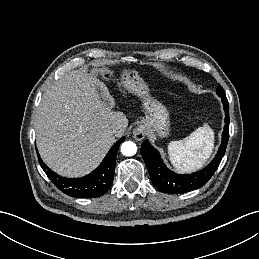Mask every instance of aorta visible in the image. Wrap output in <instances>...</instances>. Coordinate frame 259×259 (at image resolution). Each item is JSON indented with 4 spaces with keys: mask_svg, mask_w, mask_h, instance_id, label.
Instances as JSON below:
<instances>
[{
    "mask_svg": "<svg viewBox=\"0 0 259 259\" xmlns=\"http://www.w3.org/2000/svg\"><path fill=\"white\" fill-rule=\"evenodd\" d=\"M136 144L131 141H126L121 145V153L125 156H133L136 154Z\"/></svg>",
    "mask_w": 259,
    "mask_h": 259,
    "instance_id": "aorta-1",
    "label": "aorta"
}]
</instances>
